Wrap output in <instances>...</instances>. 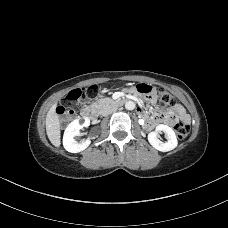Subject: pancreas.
Masks as SVG:
<instances>
[{
  "label": "pancreas",
  "instance_id": "pancreas-1",
  "mask_svg": "<svg viewBox=\"0 0 228 228\" xmlns=\"http://www.w3.org/2000/svg\"><path fill=\"white\" fill-rule=\"evenodd\" d=\"M112 100L111 99H109V98H102V99H99V100H97L96 102H94L92 105L94 106V107H98V108H100V109H103L105 106H106V104H108L109 102H111Z\"/></svg>",
  "mask_w": 228,
  "mask_h": 228
}]
</instances>
